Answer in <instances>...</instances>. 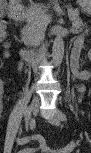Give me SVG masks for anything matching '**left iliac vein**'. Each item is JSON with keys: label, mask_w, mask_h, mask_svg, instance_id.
<instances>
[{"label": "left iliac vein", "mask_w": 91, "mask_h": 153, "mask_svg": "<svg viewBox=\"0 0 91 153\" xmlns=\"http://www.w3.org/2000/svg\"><path fill=\"white\" fill-rule=\"evenodd\" d=\"M60 117H59V112L54 113L51 118L49 119V122L54 125V126H59L60 125Z\"/></svg>", "instance_id": "4c4485c4"}]
</instances>
